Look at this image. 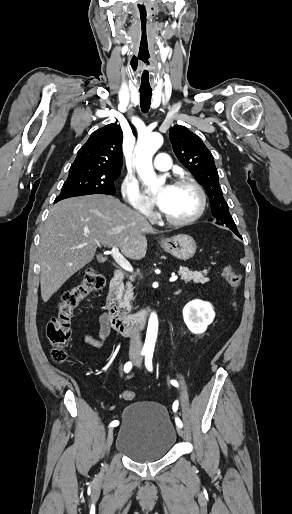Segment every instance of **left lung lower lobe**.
Here are the masks:
<instances>
[{
	"instance_id": "0a47b994",
	"label": "left lung lower lobe",
	"mask_w": 292,
	"mask_h": 514,
	"mask_svg": "<svg viewBox=\"0 0 292 514\" xmlns=\"http://www.w3.org/2000/svg\"><path fill=\"white\" fill-rule=\"evenodd\" d=\"M235 234H236L238 237H240V238L242 239V237H241V235L239 234V232H238V233H235Z\"/></svg>"
}]
</instances>
